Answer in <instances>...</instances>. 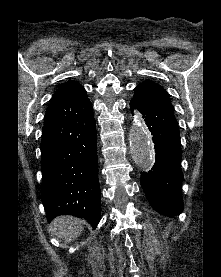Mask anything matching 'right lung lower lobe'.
Returning <instances> with one entry per match:
<instances>
[{
	"label": "right lung lower lobe",
	"mask_w": 221,
	"mask_h": 277,
	"mask_svg": "<svg viewBox=\"0 0 221 277\" xmlns=\"http://www.w3.org/2000/svg\"><path fill=\"white\" fill-rule=\"evenodd\" d=\"M40 149L42 202L48 222L69 214L85 218L95 229L101 213L97 133L84 89L51 100Z\"/></svg>",
	"instance_id": "obj_1"
}]
</instances>
